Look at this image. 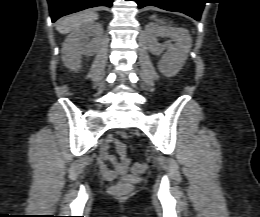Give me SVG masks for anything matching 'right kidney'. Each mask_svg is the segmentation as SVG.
Wrapping results in <instances>:
<instances>
[{"mask_svg": "<svg viewBox=\"0 0 260 217\" xmlns=\"http://www.w3.org/2000/svg\"><path fill=\"white\" fill-rule=\"evenodd\" d=\"M103 27L91 22L75 29L65 40L62 48L64 65L72 71L81 67L82 55H94L102 40Z\"/></svg>", "mask_w": 260, "mask_h": 217, "instance_id": "ca27d5eb", "label": "right kidney"}]
</instances>
